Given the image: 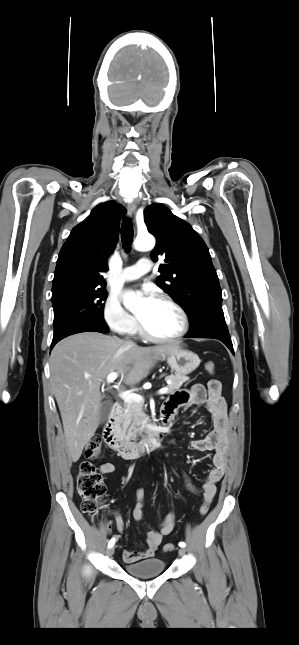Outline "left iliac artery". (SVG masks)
<instances>
[{
	"label": "left iliac artery",
	"mask_w": 299,
	"mask_h": 645,
	"mask_svg": "<svg viewBox=\"0 0 299 645\" xmlns=\"http://www.w3.org/2000/svg\"><path fill=\"white\" fill-rule=\"evenodd\" d=\"M179 546H180L181 548H183V547H185V546H186V544H185L184 542H179Z\"/></svg>",
	"instance_id": "44dca946"
}]
</instances>
